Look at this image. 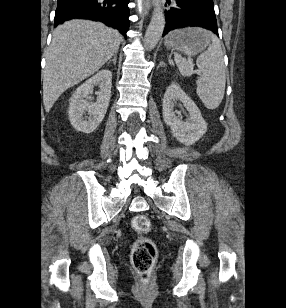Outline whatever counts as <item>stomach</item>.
Here are the masks:
<instances>
[{"label":"stomach","mask_w":286,"mask_h":308,"mask_svg":"<svg viewBox=\"0 0 286 308\" xmlns=\"http://www.w3.org/2000/svg\"><path fill=\"white\" fill-rule=\"evenodd\" d=\"M210 41V32L195 27L171 32L165 39V45L187 55H196L209 46Z\"/></svg>","instance_id":"0dacf381"}]
</instances>
